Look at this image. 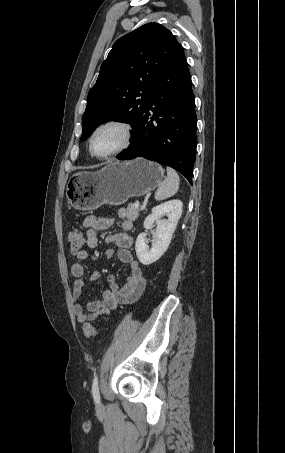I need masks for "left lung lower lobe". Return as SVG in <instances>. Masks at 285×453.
Returning a JSON list of instances; mask_svg holds the SVG:
<instances>
[{"label":"left lung lower lobe","instance_id":"obj_1","mask_svg":"<svg viewBox=\"0 0 285 453\" xmlns=\"http://www.w3.org/2000/svg\"><path fill=\"white\" fill-rule=\"evenodd\" d=\"M197 117L191 77L181 45L161 73L133 128L131 144L117 159L143 157L168 165L192 184Z\"/></svg>","mask_w":285,"mask_h":453}]
</instances>
